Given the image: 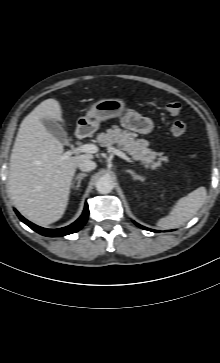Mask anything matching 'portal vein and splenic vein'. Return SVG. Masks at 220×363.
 Wrapping results in <instances>:
<instances>
[{"mask_svg": "<svg viewBox=\"0 0 220 363\" xmlns=\"http://www.w3.org/2000/svg\"><path fill=\"white\" fill-rule=\"evenodd\" d=\"M109 150L111 152H113L115 155L121 157L122 159L126 160L127 162H130V163H133V160L128 157L125 153H123L122 151L118 150V149H115V148H109ZM99 151V148L94 145V144H84V145H81V146H78V147H75L71 150H68L66 151L63 156H62V159H67L69 158L72 154H75V153H80V152H84V153H91V154H94V153H97Z\"/></svg>", "mask_w": 220, "mask_h": 363, "instance_id": "obj_1", "label": "portal vein and splenic vein"}]
</instances>
